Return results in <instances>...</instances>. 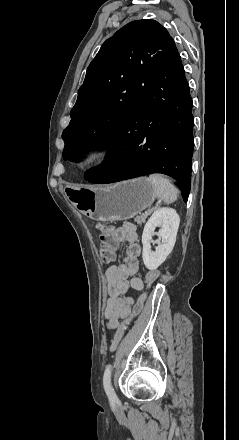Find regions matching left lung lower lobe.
I'll return each mask as SVG.
<instances>
[{"instance_id": "1", "label": "left lung lower lobe", "mask_w": 239, "mask_h": 440, "mask_svg": "<svg viewBox=\"0 0 239 440\" xmlns=\"http://www.w3.org/2000/svg\"><path fill=\"white\" fill-rule=\"evenodd\" d=\"M193 125L189 85L175 48L136 109L113 135L104 163L85 179L105 184L162 173L178 181L187 201Z\"/></svg>"}]
</instances>
